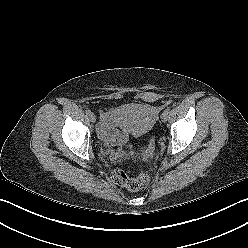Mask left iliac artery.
<instances>
[{
    "label": "left iliac artery",
    "mask_w": 248,
    "mask_h": 248,
    "mask_svg": "<svg viewBox=\"0 0 248 248\" xmlns=\"http://www.w3.org/2000/svg\"><path fill=\"white\" fill-rule=\"evenodd\" d=\"M166 110H168L170 112V108H167Z\"/></svg>",
    "instance_id": "44dca946"
}]
</instances>
